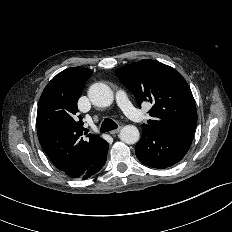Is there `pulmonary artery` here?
I'll list each match as a JSON object with an SVG mask.
<instances>
[{"label":"pulmonary artery","mask_w":232,"mask_h":232,"mask_svg":"<svg viewBox=\"0 0 232 232\" xmlns=\"http://www.w3.org/2000/svg\"><path fill=\"white\" fill-rule=\"evenodd\" d=\"M116 102L124 114L135 122H141L143 115L131 104L127 94L124 91L116 93Z\"/></svg>","instance_id":"1"}]
</instances>
